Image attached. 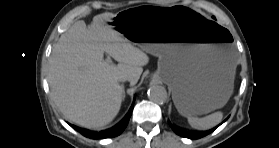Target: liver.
Instances as JSON below:
<instances>
[{
    "mask_svg": "<svg viewBox=\"0 0 279 148\" xmlns=\"http://www.w3.org/2000/svg\"><path fill=\"white\" fill-rule=\"evenodd\" d=\"M113 13L96 15L89 28L75 22L54 45L49 60L51 98L64 117L82 127L98 129L118 114L123 88L119 77L135 85L148 55L110 24ZM108 53L118 65L104 61Z\"/></svg>",
    "mask_w": 279,
    "mask_h": 148,
    "instance_id": "obj_1",
    "label": "liver"
}]
</instances>
